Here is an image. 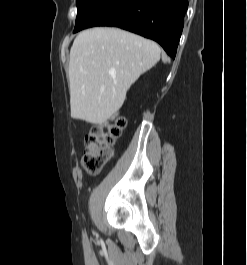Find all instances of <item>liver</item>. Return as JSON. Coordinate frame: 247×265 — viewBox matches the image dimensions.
Instances as JSON below:
<instances>
[{
  "label": "liver",
  "mask_w": 247,
  "mask_h": 265,
  "mask_svg": "<svg viewBox=\"0 0 247 265\" xmlns=\"http://www.w3.org/2000/svg\"><path fill=\"white\" fill-rule=\"evenodd\" d=\"M159 46L117 28L82 31L70 50L71 116L103 125L114 119L131 85L160 60Z\"/></svg>",
  "instance_id": "liver-1"
}]
</instances>
